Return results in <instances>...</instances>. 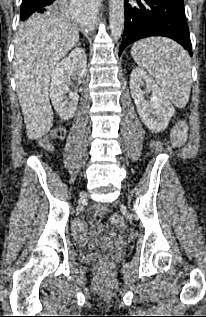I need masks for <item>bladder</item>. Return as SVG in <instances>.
<instances>
[{
    "label": "bladder",
    "instance_id": "bladder-1",
    "mask_svg": "<svg viewBox=\"0 0 206 317\" xmlns=\"http://www.w3.org/2000/svg\"><path fill=\"white\" fill-rule=\"evenodd\" d=\"M100 250H101V248L99 246H91V247H88L86 249V253L92 254V253L98 252Z\"/></svg>",
    "mask_w": 206,
    "mask_h": 317
}]
</instances>
